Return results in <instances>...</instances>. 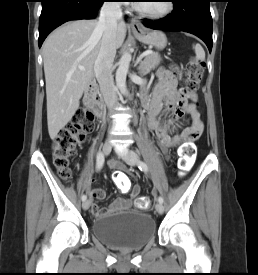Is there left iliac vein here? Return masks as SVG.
Masks as SVG:
<instances>
[{
	"label": "left iliac vein",
	"mask_w": 258,
	"mask_h": 275,
	"mask_svg": "<svg viewBox=\"0 0 258 275\" xmlns=\"http://www.w3.org/2000/svg\"><path fill=\"white\" fill-rule=\"evenodd\" d=\"M123 160L129 165L135 166L137 165L139 157L134 151L127 150L126 153L123 155ZM155 207L159 214H162L164 212V206L162 203L158 202Z\"/></svg>",
	"instance_id": "left-iliac-vein-1"
}]
</instances>
